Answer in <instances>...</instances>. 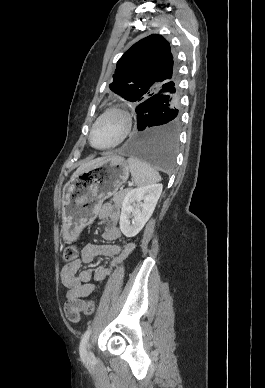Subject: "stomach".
<instances>
[{"label":"stomach","mask_w":265,"mask_h":388,"mask_svg":"<svg viewBox=\"0 0 265 388\" xmlns=\"http://www.w3.org/2000/svg\"><path fill=\"white\" fill-rule=\"evenodd\" d=\"M128 177L129 165L118 155L104 157L72 177L63 188V237L75 239L93 222L103 201L115 194Z\"/></svg>","instance_id":"0dacf381"}]
</instances>
